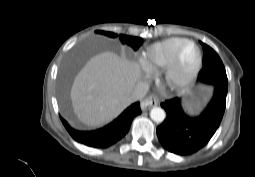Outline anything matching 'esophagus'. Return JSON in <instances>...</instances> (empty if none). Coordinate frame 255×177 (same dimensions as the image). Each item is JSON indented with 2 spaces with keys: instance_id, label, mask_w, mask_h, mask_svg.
Here are the masks:
<instances>
[{
  "instance_id": "1",
  "label": "esophagus",
  "mask_w": 255,
  "mask_h": 177,
  "mask_svg": "<svg viewBox=\"0 0 255 177\" xmlns=\"http://www.w3.org/2000/svg\"><path fill=\"white\" fill-rule=\"evenodd\" d=\"M157 100L153 96H148L146 97L142 102H141V109L142 111L149 110L151 107L157 105Z\"/></svg>"
}]
</instances>
